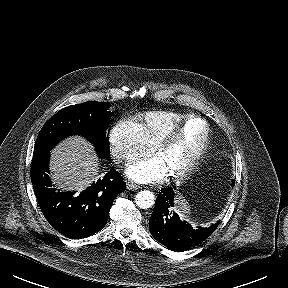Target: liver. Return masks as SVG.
Wrapping results in <instances>:
<instances>
[{"mask_svg": "<svg viewBox=\"0 0 288 288\" xmlns=\"http://www.w3.org/2000/svg\"><path fill=\"white\" fill-rule=\"evenodd\" d=\"M98 157L92 145L80 136H72L51 151V179L65 191H81L97 179Z\"/></svg>", "mask_w": 288, "mask_h": 288, "instance_id": "6515ba94", "label": "liver"}]
</instances>
